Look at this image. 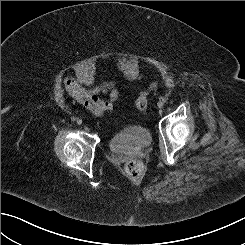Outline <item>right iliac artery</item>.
<instances>
[{
    "instance_id": "obj_1",
    "label": "right iliac artery",
    "mask_w": 245,
    "mask_h": 245,
    "mask_svg": "<svg viewBox=\"0 0 245 245\" xmlns=\"http://www.w3.org/2000/svg\"><path fill=\"white\" fill-rule=\"evenodd\" d=\"M71 120H72V121H75V120H76V118H75L74 116H72V117H71Z\"/></svg>"
}]
</instances>
